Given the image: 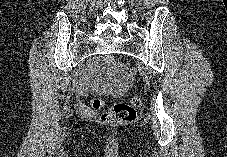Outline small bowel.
Instances as JSON below:
<instances>
[{
  "label": "small bowel",
  "mask_w": 227,
  "mask_h": 157,
  "mask_svg": "<svg viewBox=\"0 0 227 157\" xmlns=\"http://www.w3.org/2000/svg\"><path fill=\"white\" fill-rule=\"evenodd\" d=\"M129 78L120 70H110L104 74L94 73V63L85 75L83 90H97L103 93H120L126 87Z\"/></svg>",
  "instance_id": "1"
}]
</instances>
